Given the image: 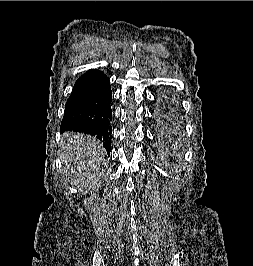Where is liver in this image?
I'll return each instance as SVG.
<instances>
[{
	"instance_id": "6515ba94",
	"label": "liver",
	"mask_w": 253,
	"mask_h": 266,
	"mask_svg": "<svg viewBox=\"0 0 253 266\" xmlns=\"http://www.w3.org/2000/svg\"><path fill=\"white\" fill-rule=\"evenodd\" d=\"M61 146L64 150L63 162H71V170L74 165V172L78 173L73 185L89 191L95 186L100 167L105 162L101 144L92 136L71 133L64 135Z\"/></svg>"
}]
</instances>
